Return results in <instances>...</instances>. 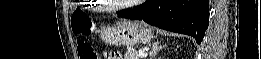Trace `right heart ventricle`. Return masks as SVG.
Listing matches in <instances>:
<instances>
[{
    "label": "right heart ventricle",
    "mask_w": 261,
    "mask_h": 59,
    "mask_svg": "<svg viewBox=\"0 0 261 59\" xmlns=\"http://www.w3.org/2000/svg\"><path fill=\"white\" fill-rule=\"evenodd\" d=\"M92 9L97 10V9H99V7H93V6H92Z\"/></svg>",
    "instance_id": "e07e8e85"
}]
</instances>
